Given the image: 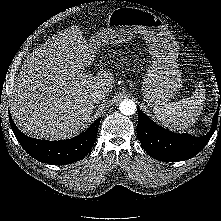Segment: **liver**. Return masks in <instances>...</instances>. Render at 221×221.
<instances>
[{
	"label": "liver",
	"mask_w": 221,
	"mask_h": 221,
	"mask_svg": "<svg viewBox=\"0 0 221 221\" xmlns=\"http://www.w3.org/2000/svg\"><path fill=\"white\" fill-rule=\"evenodd\" d=\"M96 48L71 26L47 40L25 59L15 82L10 110L22 132L46 140L71 138L83 130L94 109L91 93H109L112 73H84Z\"/></svg>",
	"instance_id": "6515ba94"
}]
</instances>
